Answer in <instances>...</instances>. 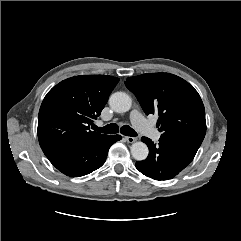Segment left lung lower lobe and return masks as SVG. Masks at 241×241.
<instances>
[{
    "label": "left lung lower lobe",
    "mask_w": 241,
    "mask_h": 241,
    "mask_svg": "<svg viewBox=\"0 0 241 241\" xmlns=\"http://www.w3.org/2000/svg\"><path fill=\"white\" fill-rule=\"evenodd\" d=\"M149 148V155L143 161L136 162V168L155 180L174 178L194 158L202 141L196 139H178L160 137L156 145L149 138L141 139Z\"/></svg>",
    "instance_id": "left-lung-lower-lobe-1"
}]
</instances>
